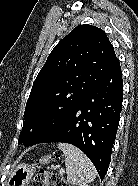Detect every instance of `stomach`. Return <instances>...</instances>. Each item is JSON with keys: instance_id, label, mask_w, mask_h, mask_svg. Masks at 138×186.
Wrapping results in <instances>:
<instances>
[{"instance_id": "1", "label": "stomach", "mask_w": 138, "mask_h": 186, "mask_svg": "<svg viewBox=\"0 0 138 186\" xmlns=\"http://www.w3.org/2000/svg\"><path fill=\"white\" fill-rule=\"evenodd\" d=\"M51 156L42 157L39 162L47 164L50 162ZM34 170L31 165L19 164L10 173L8 186H27L33 176Z\"/></svg>"}]
</instances>
